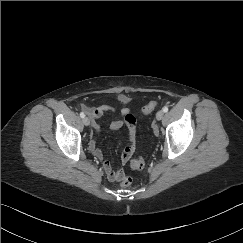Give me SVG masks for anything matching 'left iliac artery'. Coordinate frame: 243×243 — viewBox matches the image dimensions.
I'll return each mask as SVG.
<instances>
[{
	"label": "left iliac artery",
	"mask_w": 243,
	"mask_h": 243,
	"mask_svg": "<svg viewBox=\"0 0 243 243\" xmlns=\"http://www.w3.org/2000/svg\"><path fill=\"white\" fill-rule=\"evenodd\" d=\"M162 110H163V112H164V113H166V112H168V107H167V106H165V107H163V109H162Z\"/></svg>",
	"instance_id": "left-iliac-artery-1"
}]
</instances>
